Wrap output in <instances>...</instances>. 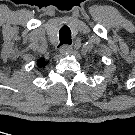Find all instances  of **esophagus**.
Wrapping results in <instances>:
<instances>
[{
	"mask_svg": "<svg viewBox=\"0 0 135 135\" xmlns=\"http://www.w3.org/2000/svg\"><path fill=\"white\" fill-rule=\"evenodd\" d=\"M61 55H69L72 52V47L69 45H64L60 48Z\"/></svg>",
	"mask_w": 135,
	"mask_h": 135,
	"instance_id": "esophagus-1",
	"label": "esophagus"
}]
</instances>
